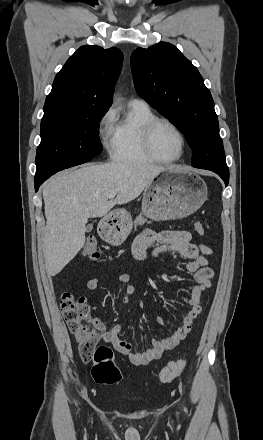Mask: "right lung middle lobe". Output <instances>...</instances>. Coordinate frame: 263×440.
Here are the masks:
<instances>
[{"label": "right lung middle lobe", "instance_id": "1", "mask_svg": "<svg viewBox=\"0 0 263 440\" xmlns=\"http://www.w3.org/2000/svg\"><path fill=\"white\" fill-rule=\"evenodd\" d=\"M107 110L44 114L35 179L84 163L102 151L99 123Z\"/></svg>", "mask_w": 263, "mask_h": 440}]
</instances>
